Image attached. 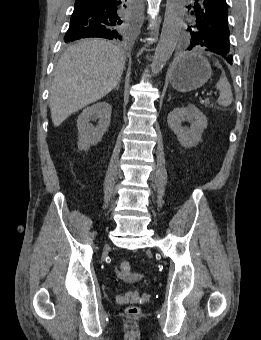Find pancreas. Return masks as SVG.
Listing matches in <instances>:
<instances>
[{
    "label": "pancreas",
    "mask_w": 261,
    "mask_h": 340,
    "mask_svg": "<svg viewBox=\"0 0 261 340\" xmlns=\"http://www.w3.org/2000/svg\"><path fill=\"white\" fill-rule=\"evenodd\" d=\"M204 104H205V106H212V105H210V101L209 100H206L205 102H204Z\"/></svg>",
    "instance_id": "cf45deb5"
}]
</instances>
